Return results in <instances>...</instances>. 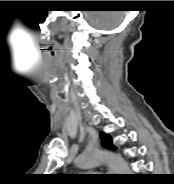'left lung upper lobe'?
<instances>
[{
	"label": "left lung upper lobe",
	"mask_w": 174,
	"mask_h": 184,
	"mask_svg": "<svg viewBox=\"0 0 174 184\" xmlns=\"http://www.w3.org/2000/svg\"><path fill=\"white\" fill-rule=\"evenodd\" d=\"M101 139H102V146H104L107 149H116V147L112 144L111 137L105 133H101Z\"/></svg>",
	"instance_id": "left-lung-upper-lobe-1"
}]
</instances>
